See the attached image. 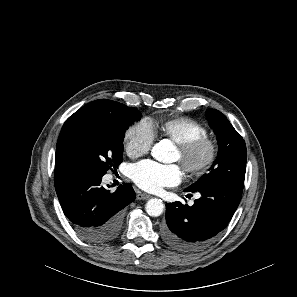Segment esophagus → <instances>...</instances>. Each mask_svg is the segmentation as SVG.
<instances>
[{
	"label": "esophagus",
	"mask_w": 297,
	"mask_h": 297,
	"mask_svg": "<svg viewBox=\"0 0 297 297\" xmlns=\"http://www.w3.org/2000/svg\"><path fill=\"white\" fill-rule=\"evenodd\" d=\"M136 198L138 200H147V199L151 198V196L149 194H146V193L138 192L137 195H136Z\"/></svg>",
	"instance_id": "esophagus-1"
}]
</instances>
